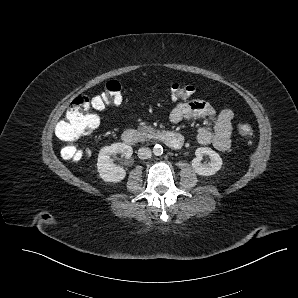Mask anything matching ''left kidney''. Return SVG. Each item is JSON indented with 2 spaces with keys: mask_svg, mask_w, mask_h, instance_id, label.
<instances>
[{
  "mask_svg": "<svg viewBox=\"0 0 298 298\" xmlns=\"http://www.w3.org/2000/svg\"><path fill=\"white\" fill-rule=\"evenodd\" d=\"M204 155H207L210 158L207 164H202ZM192 166L196 173L200 175H212L221 168L222 159L213 149L208 147H199L195 151V158L192 161Z\"/></svg>",
  "mask_w": 298,
  "mask_h": 298,
  "instance_id": "5707ae66",
  "label": "left kidney"
}]
</instances>
